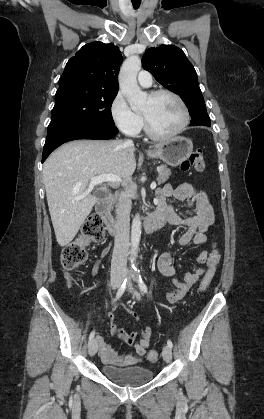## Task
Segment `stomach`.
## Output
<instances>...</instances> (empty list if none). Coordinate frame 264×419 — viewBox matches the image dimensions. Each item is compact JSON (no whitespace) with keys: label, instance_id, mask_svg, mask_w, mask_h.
<instances>
[{"label":"stomach","instance_id":"stomach-1","mask_svg":"<svg viewBox=\"0 0 264 419\" xmlns=\"http://www.w3.org/2000/svg\"><path fill=\"white\" fill-rule=\"evenodd\" d=\"M193 151L192 141L178 136L160 144L154 152L148 154L152 158H160L170 166H178L185 161Z\"/></svg>","mask_w":264,"mask_h":419}]
</instances>
